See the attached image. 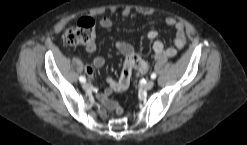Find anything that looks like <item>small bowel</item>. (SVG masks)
Returning <instances> with one entry per match:
<instances>
[{"instance_id": "small-bowel-1", "label": "small bowel", "mask_w": 247, "mask_h": 145, "mask_svg": "<svg viewBox=\"0 0 247 145\" xmlns=\"http://www.w3.org/2000/svg\"><path fill=\"white\" fill-rule=\"evenodd\" d=\"M124 14L127 15L128 12L125 11ZM165 24L175 30L174 47L165 48L162 41L158 38L157 31H149L146 36L149 40L153 41L154 61H161L165 58L174 57L177 50L183 49L186 44L185 27L182 22L177 21L172 17H167L165 19ZM99 25L104 29H109L113 26V21L108 17H103L99 20ZM116 48L124 56V64L127 65L130 63V76L126 80H124L122 74L119 79L107 77L108 87L104 90V92L98 94V98L104 105L105 109L111 113V115L120 116L123 114V108L116 101L110 99V95L113 92H122L128 88L133 70H136L139 74H145L150 67V61L139 57L135 53L133 46L127 42L118 41L116 43ZM95 49V43H91L86 46V50L88 52H93ZM134 57L138 58V64H134L132 62ZM104 64L105 58L103 56H96L93 58L91 64L85 65L84 69L90 77H93L94 69L101 68Z\"/></svg>"}]
</instances>
